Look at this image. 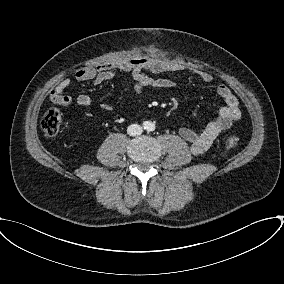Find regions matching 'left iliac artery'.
<instances>
[{"mask_svg": "<svg viewBox=\"0 0 284 284\" xmlns=\"http://www.w3.org/2000/svg\"><path fill=\"white\" fill-rule=\"evenodd\" d=\"M151 129H154V126H153V125L151 126Z\"/></svg>", "mask_w": 284, "mask_h": 284, "instance_id": "left-iliac-artery-1", "label": "left iliac artery"}]
</instances>
